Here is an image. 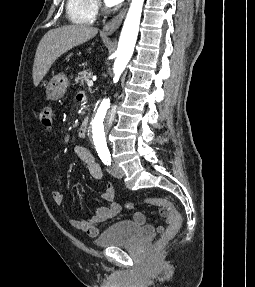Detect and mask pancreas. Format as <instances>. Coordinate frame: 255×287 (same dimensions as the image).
Instances as JSON below:
<instances>
[{"instance_id": "cf45deb5", "label": "pancreas", "mask_w": 255, "mask_h": 287, "mask_svg": "<svg viewBox=\"0 0 255 287\" xmlns=\"http://www.w3.org/2000/svg\"><path fill=\"white\" fill-rule=\"evenodd\" d=\"M93 72L91 70H83V72H79L78 78H75V84H79V86H84L87 80L92 78Z\"/></svg>"}]
</instances>
